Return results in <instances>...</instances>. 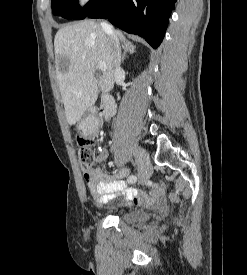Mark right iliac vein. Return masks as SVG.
<instances>
[{"label":"right iliac vein","mask_w":247,"mask_h":275,"mask_svg":"<svg viewBox=\"0 0 247 275\" xmlns=\"http://www.w3.org/2000/svg\"><path fill=\"white\" fill-rule=\"evenodd\" d=\"M136 157L138 164V182L143 183L150 176L149 155L144 149L138 148L136 150Z\"/></svg>","instance_id":"63e3f726"}]
</instances>
